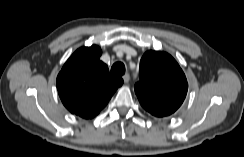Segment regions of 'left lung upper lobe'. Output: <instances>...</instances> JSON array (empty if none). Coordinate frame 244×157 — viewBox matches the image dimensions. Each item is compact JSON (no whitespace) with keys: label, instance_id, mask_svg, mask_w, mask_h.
Here are the masks:
<instances>
[{"label":"left lung upper lobe","instance_id":"left-lung-upper-lobe-1","mask_svg":"<svg viewBox=\"0 0 244 157\" xmlns=\"http://www.w3.org/2000/svg\"><path fill=\"white\" fill-rule=\"evenodd\" d=\"M139 76L135 93L142 107L152 115L169 116L183 103L188 83L180 66L168 53L147 51L140 61Z\"/></svg>","mask_w":244,"mask_h":157}]
</instances>
